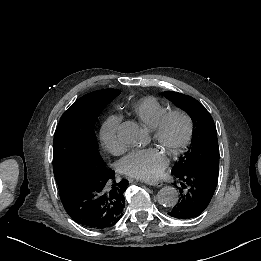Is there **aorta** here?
I'll list each match as a JSON object with an SVG mask.
<instances>
[{
  "label": "aorta",
  "instance_id": "obj_1",
  "mask_svg": "<svg viewBox=\"0 0 261 261\" xmlns=\"http://www.w3.org/2000/svg\"><path fill=\"white\" fill-rule=\"evenodd\" d=\"M118 138L129 146H137L145 138L144 130L135 122L125 121L118 129ZM159 204L165 207H173L179 200V192L172 186L162 187L157 193Z\"/></svg>",
  "mask_w": 261,
  "mask_h": 261
}]
</instances>
